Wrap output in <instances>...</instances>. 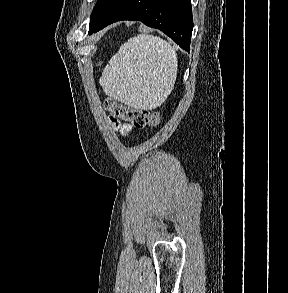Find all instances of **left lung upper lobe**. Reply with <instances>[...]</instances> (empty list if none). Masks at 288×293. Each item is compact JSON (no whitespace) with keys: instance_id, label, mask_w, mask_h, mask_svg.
I'll use <instances>...</instances> for the list:
<instances>
[{"instance_id":"1","label":"left lung upper lobe","mask_w":288,"mask_h":293,"mask_svg":"<svg viewBox=\"0 0 288 293\" xmlns=\"http://www.w3.org/2000/svg\"><path fill=\"white\" fill-rule=\"evenodd\" d=\"M119 1L120 0H99L91 14L89 30L95 23L102 20Z\"/></svg>"}]
</instances>
